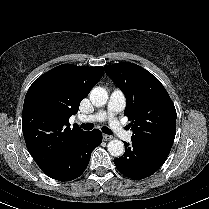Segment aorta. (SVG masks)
<instances>
[{"label":"aorta","instance_id":"1","mask_svg":"<svg viewBox=\"0 0 209 209\" xmlns=\"http://www.w3.org/2000/svg\"><path fill=\"white\" fill-rule=\"evenodd\" d=\"M108 93L103 87H95L90 92V101L96 107H101L107 103ZM109 153L114 157L122 156L125 152V146L122 141L114 139L107 145Z\"/></svg>","mask_w":209,"mask_h":209}]
</instances>
